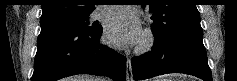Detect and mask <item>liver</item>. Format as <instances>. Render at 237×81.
Wrapping results in <instances>:
<instances>
[{
	"instance_id": "liver-1",
	"label": "liver",
	"mask_w": 237,
	"mask_h": 81,
	"mask_svg": "<svg viewBox=\"0 0 237 81\" xmlns=\"http://www.w3.org/2000/svg\"><path fill=\"white\" fill-rule=\"evenodd\" d=\"M103 78L92 75H75L66 78V81H103Z\"/></svg>"
}]
</instances>
